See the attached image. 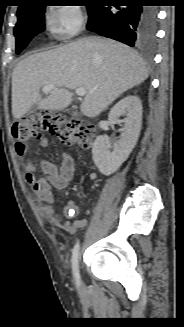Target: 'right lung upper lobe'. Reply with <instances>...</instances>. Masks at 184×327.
<instances>
[{
    "instance_id": "right-lung-upper-lobe-1",
    "label": "right lung upper lobe",
    "mask_w": 184,
    "mask_h": 327,
    "mask_svg": "<svg viewBox=\"0 0 184 327\" xmlns=\"http://www.w3.org/2000/svg\"><path fill=\"white\" fill-rule=\"evenodd\" d=\"M41 0H20L21 5L18 8V11L29 8L33 5L40 3ZM17 11V12H18Z\"/></svg>"
}]
</instances>
